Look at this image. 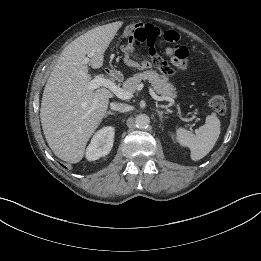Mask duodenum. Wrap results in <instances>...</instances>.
<instances>
[{"label":"duodenum","mask_w":261,"mask_h":261,"mask_svg":"<svg viewBox=\"0 0 261 261\" xmlns=\"http://www.w3.org/2000/svg\"><path fill=\"white\" fill-rule=\"evenodd\" d=\"M107 73L110 77L117 78V74H115L114 72L108 71Z\"/></svg>","instance_id":"1"}]
</instances>
